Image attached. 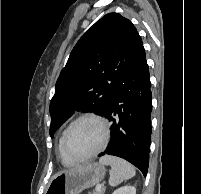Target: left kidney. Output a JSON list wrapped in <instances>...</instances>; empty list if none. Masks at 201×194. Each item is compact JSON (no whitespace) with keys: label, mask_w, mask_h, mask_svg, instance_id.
<instances>
[{"label":"left kidney","mask_w":201,"mask_h":194,"mask_svg":"<svg viewBox=\"0 0 201 194\" xmlns=\"http://www.w3.org/2000/svg\"><path fill=\"white\" fill-rule=\"evenodd\" d=\"M112 194H136V189L133 186H124L116 189Z\"/></svg>","instance_id":"left-kidney-1"}]
</instances>
